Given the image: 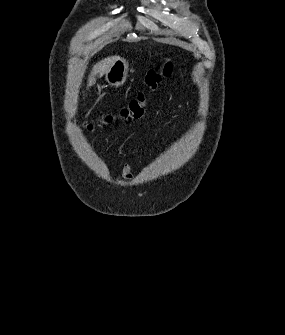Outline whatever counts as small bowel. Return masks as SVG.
<instances>
[{
    "label": "small bowel",
    "mask_w": 285,
    "mask_h": 335,
    "mask_svg": "<svg viewBox=\"0 0 285 335\" xmlns=\"http://www.w3.org/2000/svg\"><path fill=\"white\" fill-rule=\"evenodd\" d=\"M121 173H122V177L125 180L131 181L134 178V174H133L131 168L128 165L123 166Z\"/></svg>",
    "instance_id": "small-bowel-1"
}]
</instances>
